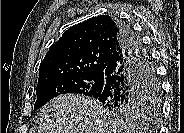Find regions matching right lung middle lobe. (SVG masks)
I'll use <instances>...</instances> for the list:
<instances>
[{
    "label": "right lung middle lobe",
    "mask_w": 184,
    "mask_h": 133,
    "mask_svg": "<svg viewBox=\"0 0 184 133\" xmlns=\"http://www.w3.org/2000/svg\"><path fill=\"white\" fill-rule=\"evenodd\" d=\"M151 87L146 98L136 103L108 106L110 109L125 115L156 116L160 111V84L156 77L155 67L151 62ZM104 86L103 75L64 77L46 83L36 89L37 100L34 109H38L56 96L74 93L95 97ZM107 108V107H106Z\"/></svg>",
    "instance_id": "obj_1"
}]
</instances>
